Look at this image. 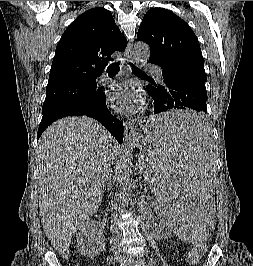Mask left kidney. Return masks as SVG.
<instances>
[{
	"label": "left kidney",
	"mask_w": 253,
	"mask_h": 266,
	"mask_svg": "<svg viewBox=\"0 0 253 266\" xmlns=\"http://www.w3.org/2000/svg\"><path fill=\"white\" fill-rule=\"evenodd\" d=\"M161 224L163 225V227H166L168 230H170L172 227V224L170 223L169 219H167V218H164L161 221Z\"/></svg>",
	"instance_id": "left-kidney-1"
}]
</instances>
